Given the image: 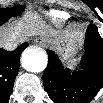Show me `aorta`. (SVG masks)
<instances>
[{
	"mask_svg": "<svg viewBox=\"0 0 103 103\" xmlns=\"http://www.w3.org/2000/svg\"><path fill=\"white\" fill-rule=\"evenodd\" d=\"M47 55L38 50L26 49L22 53V66L30 72H41L46 68Z\"/></svg>",
	"mask_w": 103,
	"mask_h": 103,
	"instance_id": "obj_1",
	"label": "aorta"
}]
</instances>
